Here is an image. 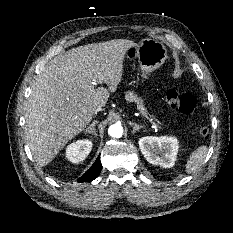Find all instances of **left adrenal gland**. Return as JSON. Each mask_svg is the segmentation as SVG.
Returning a JSON list of instances; mask_svg holds the SVG:
<instances>
[{
	"label": "left adrenal gland",
	"instance_id": "obj_1",
	"mask_svg": "<svg viewBox=\"0 0 233 233\" xmlns=\"http://www.w3.org/2000/svg\"><path fill=\"white\" fill-rule=\"evenodd\" d=\"M129 124H130L131 126H133V131H132L133 134H134L136 131H139L141 128H143V126H140V125L137 124V123L130 122Z\"/></svg>",
	"mask_w": 233,
	"mask_h": 233
}]
</instances>
